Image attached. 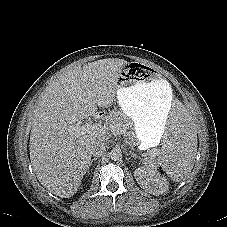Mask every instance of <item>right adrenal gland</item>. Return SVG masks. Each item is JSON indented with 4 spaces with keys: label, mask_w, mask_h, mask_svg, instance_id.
<instances>
[{
    "label": "right adrenal gland",
    "mask_w": 227,
    "mask_h": 227,
    "mask_svg": "<svg viewBox=\"0 0 227 227\" xmlns=\"http://www.w3.org/2000/svg\"><path fill=\"white\" fill-rule=\"evenodd\" d=\"M97 159H98L97 157L93 158V159L90 161L89 166H92V163H93L94 161H96Z\"/></svg>",
    "instance_id": "obj_1"
}]
</instances>
